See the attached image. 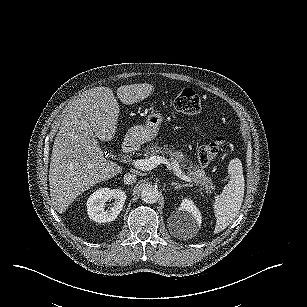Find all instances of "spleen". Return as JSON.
Listing matches in <instances>:
<instances>
[{
  "mask_svg": "<svg viewBox=\"0 0 307 307\" xmlns=\"http://www.w3.org/2000/svg\"><path fill=\"white\" fill-rule=\"evenodd\" d=\"M229 182L220 195L215 197L213 209L216 217L214 234L226 229L239 213L243 203L245 180L239 158H234L228 165Z\"/></svg>",
  "mask_w": 307,
  "mask_h": 307,
  "instance_id": "3e777b00",
  "label": "spleen"
}]
</instances>
